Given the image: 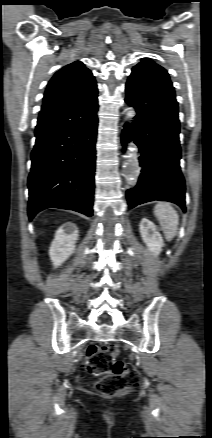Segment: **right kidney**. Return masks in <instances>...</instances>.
Wrapping results in <instances>:
<instances>
[{
	"instance_id": "1",
	"label": "right kidney",
	"mask_w": 212,
	"mask_h": 438,
	"mask_svg": "<svg viewBox=\"0 0 212 438\" xmlns=\"http://www.w3.org/2000/svg\"><path fill=\"white\" fill-rule=\"evenodd\" d=\"M78 236V229L71 222L58 228L49 249V256L54 266L61 265L74 252Z\"/></svg>"
}]
</instances>
